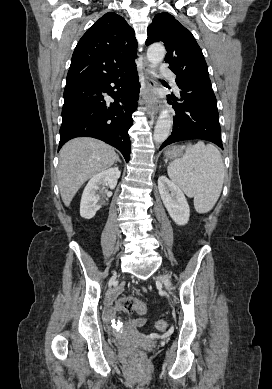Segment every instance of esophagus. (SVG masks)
<instances>
[{"mask_svg": "<svg viewBox=\"0 0 272 389\" xmlns=\"http://www.w3.org/2000/svg\"><path fill=\"white\" fill-rule=\"evenodd\" d=\"M143 73L145 78V88L143 90V98L146 101V108L148 114H157L161 108L159 99L153 94L152 90L155 86V82L152 76V68L150 64L145 61L143 66Z\"/></svg>", "mask_w": 272, "mask_h": 389, "instance_id": "34e87169", "label": "esophagus"}]
</instances>
